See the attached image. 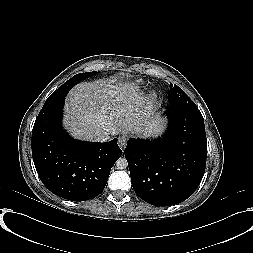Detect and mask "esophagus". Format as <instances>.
I'll list each match as a JSON object with an SVG mask.
<instances>
[{"instance_id": "esophagus-1", "label": "esophagus", "mask_w": 253, "mask_h": 253, "mask_svg": "<svg viewBox=\"0 0 253 253\" xmlns=\"http://www.w3.org/2000/svg\"><path fill=\"white\" fill-rule=\"evenodd\" d=\"M126 144H127V137H126V135H121L118 138V145H119V147L123 150L125 148Z\"/></svg>"}]
</instances>
